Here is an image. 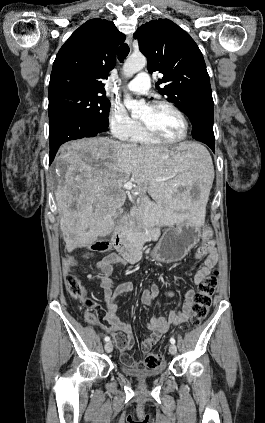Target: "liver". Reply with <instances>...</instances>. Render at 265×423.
Listing matches in <instances>:
<instances>
[{"label": "liver", "mask_w": 265, "mask_h": 423, "mask_svg": "<svg viewBox=\"0 0 265 423\" xmlns=\"http://www.w3.org/2000/svg\"><path fill=\"white\" fill-rule=\"evenodd\" d=\"M199 150L196 143L176 149L137 147L107 137L61 146L55 167L62 183L55 199L68 251L116 229L114 218L125 203L127 182L135 184L133 193L142 194L139 211L147 221L173 226L188 218L200 226L203 215L189 193L190 186L207 178Z\"/></svg>", "instance_id": "liver-1"}]
</instances>
